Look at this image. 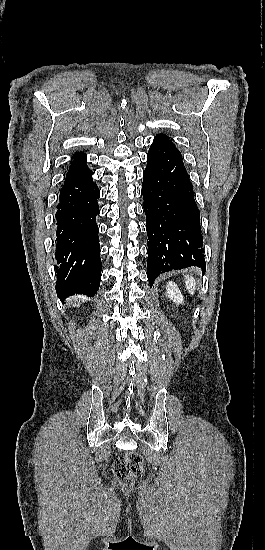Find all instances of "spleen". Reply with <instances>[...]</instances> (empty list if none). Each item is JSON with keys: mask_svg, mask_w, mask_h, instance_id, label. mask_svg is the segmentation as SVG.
Masks as SVG:
<instances>
[{"mask_svg": "<svg viewBox=\"0 0 265 550\" xmlns=\"http://www.w3.org/2000/svg\"><path fill=\"white\" fill-rule=\"evenodd\" d=\"M185 284H186V287L188 289V291L190 292V294H194V291L196 289V282H195V279L193 277H189V275H186L185 276Z\"/></svg>", "mask_w": 265, "mask_h": 550, "instance_id": "1", "label": "spleen"}]
</instances>
